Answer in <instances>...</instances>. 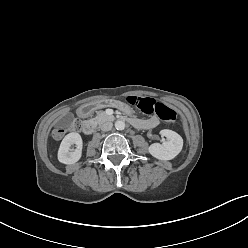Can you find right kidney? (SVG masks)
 <instances>
[{"mask_svg": "<svg viewBox=\"0 0 248 248\" xmlns=\"http://www.w3.org/2000/svg\"><path fill=\"white\" fill-rule=\"evenodd\" d=\"M76 145V149L72 151L71 146ZM82 138L79 133L72 132L67 134L62 140L58 149V160L63 164H74L82 156Z\"/></svg>", "mask_w": 248, "mask_h": 248, "instance_id": "1", "label": "right kidney"}]
</instances>
